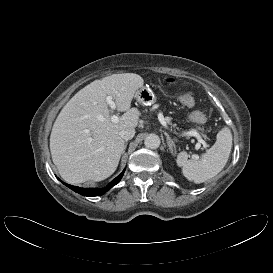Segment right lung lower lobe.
I'll return each mask as SVG.
<instances>
[{
	"instance_id": "obj_1",
	"label": "right lung lower lobe",
	"mask_w": 273,
	"mask_h": 273,
	"mask_svg": "<svg viewBox=\"0 0 273 273\" xmlns=\"http://www.w3.org/2000/svg\"><path fill=\"white\" fill-rule=\"evenodd\" d=\"M124 174V171L117 176L107 187L102 188V189H97V188H80L77 186H72L66 183L65 184L67 187H69L70 189H72L73 191H75L76 193H79L81 195L84 196H100L103 195L104 193H106L109 189H111L114 185H116L122 178Z\"/></svg>"
}]
</instances>
